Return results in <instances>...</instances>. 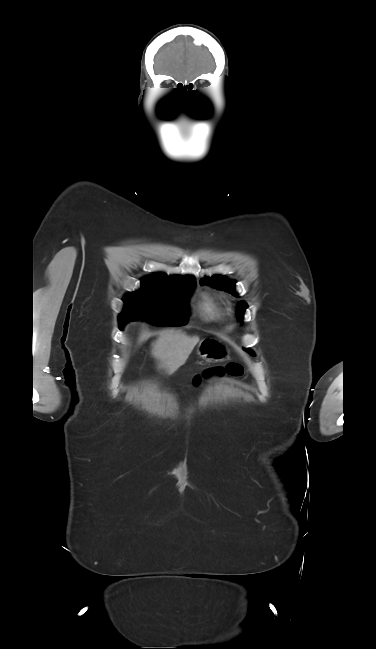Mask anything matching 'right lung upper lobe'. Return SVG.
<instances>
[{"label":"right lung upper lobe","mask_w":376,"mask_h":649,"mask_svg":"<svg viewBox=\"0 0 376 649\" xmlns=\"http://www.w3.org/2000/svg\"><path fill=\"white\" fill-rule=\"evenodd\" d=\"M177 276H180V275H174V276H169V277H177ZM162 277H168V276L165 275L164 273H155V274L149 276V278H162Z\"/></svg>","instance_id":"obj_1"}]
</instances>
